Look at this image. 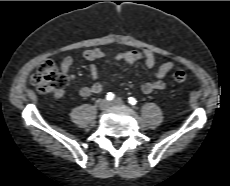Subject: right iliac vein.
<instances>
[{"label": "right iliac vein", "instance_id": "obj_1", "mask_svg": "<svg viewBox=\"0 0 230 186\" xmlns=\"http://www.w3.org/2000/svg\"><path fill=\"white\" fill-rule=\"evenodd\" d=\"M110 106H111V102L108 101L107 99L102 100L99 104V108L103 111L107 110Z\"/></svg>", "mask_w": 230, "mask_h": 186}]
</instances>
